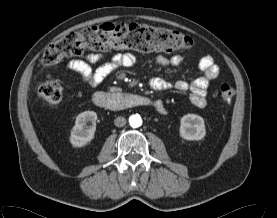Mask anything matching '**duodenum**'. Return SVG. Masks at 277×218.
I'll return each mask as SVG.
<instances>
[{
  "label": "duodenum",
  "mask_w": 277,
  "mask_h": 218,
  "mask_svg": "<svg viewBox=\"0 0 277 218\" xmlns=\"http://www.w3.org/2000/svg\"><path fill=\"white\" fill-rule=\"evenodd\" d=\"M93 103L100 108L110 111H120L137 106H150L153 105L157 110L161 106L160 101H151L149 98L134 95V94H122V95H110L106 92H97L93 95ZM160 113H165L166 108Z\"/></svg>",
  "instance_id": "410a0bca"
}]
</instances>
